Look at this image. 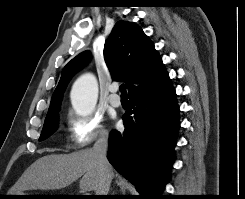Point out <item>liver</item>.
Returning a JSON list of instances; mask_svg holds the SVG:
<instances>
[{
    "label": "liver",
    "instance_id": "obj_1",
    "mask_svg": "<svg viewBox=\"0 0 245 199\" xmlns=\"http://www.w3.org/2000/svg\"><path fill=\"white\" fill-rule=\"evenodd\" d=\"M111 172L113 177L112 167ZM79 178L82 191L98 193L101 188V175L96 155L91 148L71 154H50L39 158L24 172L11 193L61 189Z\"/></svg>",
    "mask_w": 245,
    "mask_h": 199
}]
</instances>
